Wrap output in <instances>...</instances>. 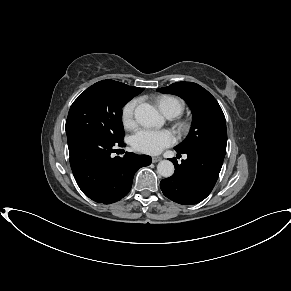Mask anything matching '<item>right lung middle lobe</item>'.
Masks as SVG:
<instances>
[{"label": "right lung middle lobe", "instance_id": "right-lung-middle-lobe-1", "mask_svg": "<svg viewBox=\"0 0 291 291\" xmlns=\"http://www.w3.org/2000/svg\"><path fill=\"white\" fill-rule=\"evenodd\" d=\"M134 96L101 81L95 83L71 105L66 133L85 132L112 143L121 142L124 137L121 108Z\"/></svg>", "mask_w": 291, "mask_h": 291}]
</instances>
